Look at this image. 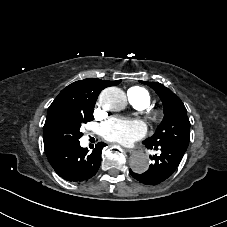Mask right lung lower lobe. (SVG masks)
Segmentation results:
<instances>
[{
    "label": "right lung lower lobe",
    "mask_w": 227,
    "mask_h": 227,
    "mask_svg": "<svg viewBox=\"0 0 227 227\" xmlns=\"http://www.w3.org/2000/svg\"><path fill=\"white\" fill-rule=\"evenodd\" d=\"M105 143L99 142L91 153L74 143L47 154L55 172L67 181L81 182L94 176L101 164L102 148Z\"/></svg>",
    "instance_id": "1"
}]
</instances>
